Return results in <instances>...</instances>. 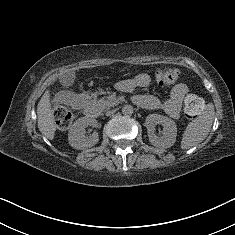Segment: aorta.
Returning a JSON list of instances; mask_svg holds the SVG:
<instances>
[{"label":"aorta","instance_id":"762f6f07","mask_svg":"<svg viewBox=\"0 0 235 235\" xmlns=\"http://www.w3.org/2000/svg\"><path fill=\"white\" fill-rule=\"evenodd\" d=\"M133 111H134L133 106H131V105H129V104L124 105V106L122 107V113H123V115H125V116H131V115L133 114Z\"/></svg>","mask_w":235,"mask_h":235}]
</instances>
